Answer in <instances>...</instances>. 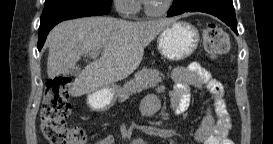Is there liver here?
Wrapping results in <instances>:
<instances>
[{
  "mask_svg": "<svg viewBox=\"0 0 273 144\" xmlns=\"http://www.w3.org/2000/svg\"><path fill=\"white\" fill-rule=\"evenodd\" d=\"M175 19L127 21L112 17H85L59 23L47 38L49 78L68 75L81 55L102 56L89 63L75 79L71 95L79 97L114 86L140 65L144 48Z\"/></svg>",
  "mask_w": 273,
  "mask_h": 144,
  "instance_id": "6515ba94",
  "label": "liver"
}]
</instances>
